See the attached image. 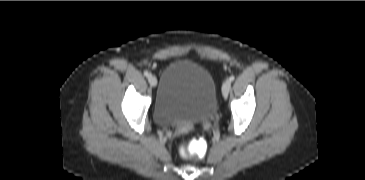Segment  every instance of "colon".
Returning a JSON list of instances; mask_svg holds the SVG:
<instances>
[{"label": "colon", "instance_id": "5ec220e1", "mask_svg": "<svg viewBox=\"0 0 365 180\" xmlns=\"http://www.w3.org/2000/svg\"><path fill=\"white\" fill-rule=\"evenodd\" d=\"M207 143L200 136H194L189 141L182 140L179 150L183 157L189 160H202L207 152Z\"/></svg>", "mask_w": 365, "mask_h": 180}]
</instances>
